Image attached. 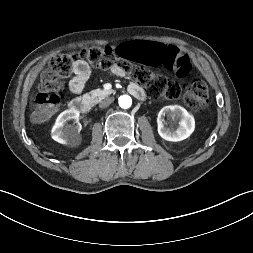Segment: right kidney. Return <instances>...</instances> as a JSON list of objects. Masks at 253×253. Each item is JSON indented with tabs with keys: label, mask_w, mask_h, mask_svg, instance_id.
Masks as SVG:
<instances>
[{
	"label": "right kidney",
	"mask_w": 253,
	"mask_h": 253,
	"mask_svg": "<svg viewBox=\"0 0 253 253\" xmlns=\"http://www.w3.org/2000/svg\"><path fill=\"white\" fill-rule=\"evenodd\" d=\"M79 111L75 109H68L63 111L56 119L52 128V138L61 144L76 145L80 140L79 133L81 125L78 122ZM75 120L76 124L68 125L67 122Z\"/></svg>",
	"instance_id": "right-kidney-1"
}]
</instances>
